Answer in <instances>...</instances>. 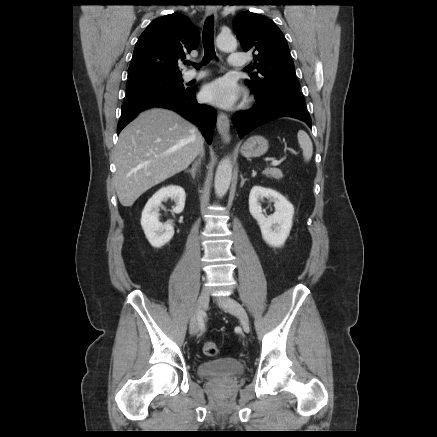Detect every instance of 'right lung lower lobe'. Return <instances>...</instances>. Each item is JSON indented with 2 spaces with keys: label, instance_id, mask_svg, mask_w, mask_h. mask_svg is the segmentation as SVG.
<instances>
[{
  "label": "right lung lower lobe",
  "instance_id": "1",
  "mask_svg": "<svg viewBox=\"0 0 437 437\" xmlns=\"http://www.w3.org/2000/svg\"><path fill=\"white\" fill-rule=\"evenodd\" d=\"M151 107H163L178 112L184 118L197 124L207 142L211 144L216 122V111L213 107L199 104L196 101L194 88L183 91L154 93L127 100L121 108L118 134L139 112Z\"/></svg>",
  "mask_w": 437,
  "mask_h": 437
}]
</instances>
